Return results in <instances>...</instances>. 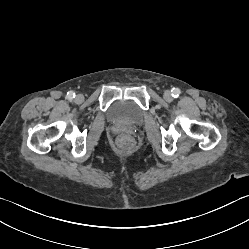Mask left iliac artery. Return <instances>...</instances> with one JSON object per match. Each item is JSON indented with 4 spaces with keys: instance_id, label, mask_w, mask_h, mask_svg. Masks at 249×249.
Wrapping results in <instances>:
<instances>
[{
    "instance_id": "left-iliac-artery-1",
    "label": "left iliac artery",
    "mask_w": 249,
    "mask_h": 249,
    "mask_svg": "<svg viewBox=\"0 0 249 249\" xmlns=\"http://www.w3.org/2000/svg\"><path fill=\"white\" fill-rule=\"evenodd\" d=\"M171 92H172V96L174 97V98H177L179 95H180V90L178 89V88H173L172 90H171Z\"/></svg>"
}]
</instances>
